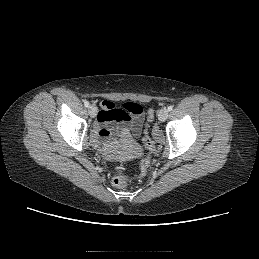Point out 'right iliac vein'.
Instances as JSON below:
<instances>
[{
    "mask_svg": "<svg viewBox=\"0 0 259 259\" xmlns=\"http://www.w3.org/2000/svg\"><path fill=\"white\" fill-rule=\"evenodd\" d=\"M88 113L91 117H95L97 115V108L94 105H90L88 107Z\"/></svg>",
    "mask_w": 259,
    "mask_h": 259,
    "instance_id": "63e3f726",
    "label": "right iliac vein"
}]
</instances>
